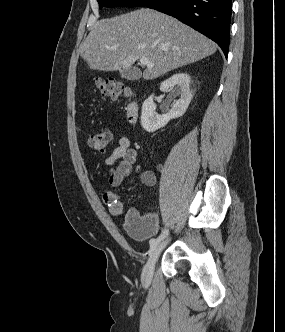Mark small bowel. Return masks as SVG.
Wrapping results in <instances>:
<instances>
[{
	"label": "small bowel",
	"mask_w": 285,
	"mask_h": 332,
	"mask_svg": "<svg viewBox=\"0 0 285 332\" xmlns=\"http://www.w3.org/2000/svg\"><path fill=\"white\" fill-rule=\"evenodd\" d=\"M104 164L109 168L108 181L111 187H119L123 180L130 176L128 186L132 185L136 178H139L142 184L147 187H154L157 183L156 175L151 170H146L141 164H137V151L131 147L130 139L122 136L119 139L117 147L114 148L111 155L108 156ZM134 165L135 168H134ZM102 200L108 207L113 216H120L124 211V205L121 196L111 190L102 192ZM137 213L131 210L126 215V220L132 218Z\"/></svg>",
	"instance_id": "obj_1"
}]
</instances>
